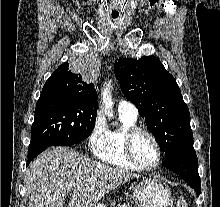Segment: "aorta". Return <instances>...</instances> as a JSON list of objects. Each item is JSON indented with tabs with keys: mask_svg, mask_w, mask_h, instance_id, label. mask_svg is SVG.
I'll return each mask as SVG.
<instances>
[{
	"mask_svg": "<svg viewBox=\"0 0 220 207\" xmlns=\"http://www.w3.org/2000/svg\"><path fill=\"white\" fill-rule=\"evenodd\" d=\"M101 95H102L104 113L109 119H111L113 118V104H114L111 96V82L105 84Z\"/></svg>",
	"mask_w": 220,
	"mask_h": 207,
	"instance_id": "obj_1",
	"label": "aorta"
}]
</instances>
